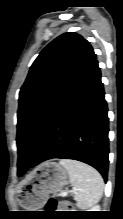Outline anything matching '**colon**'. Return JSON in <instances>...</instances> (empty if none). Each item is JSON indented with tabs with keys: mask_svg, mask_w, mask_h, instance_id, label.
<instances>
[{
	"mask_svg": "<svg viewBox=\"0 0 123 219\" xmlns=\"http://www.w3.org/2000/svg\"><path fill=\"white\" fill-rule=\"evenodd\" d=\"M47 206L51 210L58 209L60 211H65V212L72 210V205L70 203L65 202V201H58L55 198H51L48 201Z\"/></svg>",
	"mask_w": 123,
	"mask_h": 219,
	"instance_id": "obj_1",
	"label": "colon"
}]
</instances>
